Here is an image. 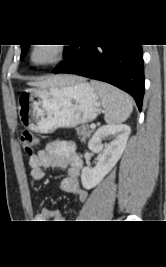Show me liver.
I'll use <instances>...</instances> for the list:
<instances>
[{"mask_svg":"<svg viewBox=\"0 0 166 267\" xmlns=\"http://www.w3.org/2000/svg\"><path fill=\"white\" fill-rule=\"evenodd\" d=\"M82 81L81 78L72 75H58L46 78L37 82H29L28 84L31 86L37 87H53L59 85H73L76 82Z\"/></svg>","mask_w":166,"mask_h":267,"instance_id":"liver-1","label":"liver"}]
</instances>
